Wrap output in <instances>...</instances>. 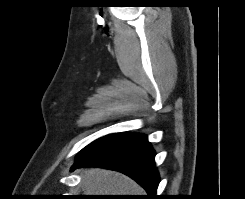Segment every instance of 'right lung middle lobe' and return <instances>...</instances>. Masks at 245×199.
Returning <instances> with one entry per match:
<instances>
[{"label":"right lung middle lobe","mask_w":245,"mask_h":199,"mask_svg":"<svg viewBox=\"0 0 245 199\" xmlns=\"http://www.w3.org/2000/svg\"><path fill=\"white\" fill-rule=\"evenodd\" d=\"M97 141H98V140H97ZM95 142H96V141H95ZM93 143H94V142H93ZM93 143H91V144H93ZM91 144H90V145H91ZM88 146H89V145H88ZM85 148H86V147H85Z\"/></svg>","instance_id":"1"}]
</instances>
